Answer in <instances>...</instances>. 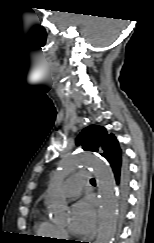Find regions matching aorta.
<instances>
[{
	"instance_id": "762f6f07",
	"label": "aorta",
	"mask_w": 154,
	"mask_h": 243,
	"mask_svg": "<svg viewBox=\"0 0 154 243\" xmlns=\"http://www.w3.org/2000/svg\"><path fill=\"white\" fill-rule=\"evenodd\" d=\"M79 167H91L96 177L100 195L101 224L94 243H113L117 222V196L115 179L110 166L89 152H78L66 156L59 170L52 178L48 194L49 211L55 218H61L67 211V202L61 193V184L65 178Z\"/></svg>"
}]
</instances>
